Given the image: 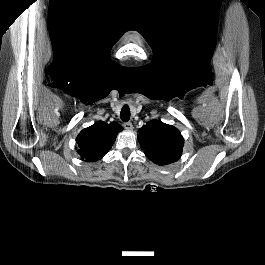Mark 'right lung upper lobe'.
<instances>
[{
	"instance_id": "1",
	"label": "right lung upper lobe",
	"mask_w": 265,
	"mask_h": 265,
	"mask_svg": "<svg viewBox=\"0 0 265 265\" xmlns=\"http://www.w3.org/2000/svg\"><path fill=\"white\" fill-rule=\"evenodd\" d=\"M122 129L117 122L107 124L103 121L83 129L76 138L78 153L82 160L90 162L101 159L111 148Z\"/></svg>"
}]
</instances>
